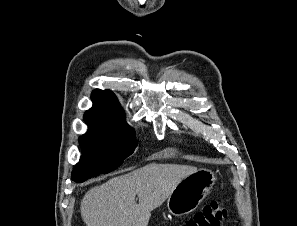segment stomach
I'll return each instance as SVG.
<instances>
[{
	"instance_id": "stomach-1",
	"label": "stomach",
	"mask_w": 297,
	"mask_h": 226,
	"mask_svg": "<svg viewBox=\"0 0 297 226\" xmlns=\"http://www.w3.org/2000/svg\"><path fill=\"white\" fill-rule=\"evenodd\" d=\"M215 180V174L208 169H199L183 178L168 197L169 212L175 216L193 212L209 193Z\"/></svg>"
}]
</instances>
